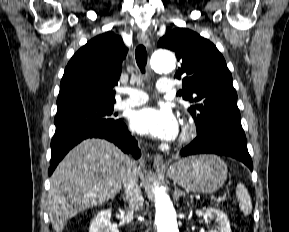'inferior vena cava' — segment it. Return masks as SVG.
<instances>
[{"label": "inferior vena cava", "mask_w": 289, "mask_h": 232, "mask_svg": "<svg viewBox=\"0 0 289 232\" xmlns=\"http://www.w3.org/2000/svg\"><path fill=\"white\" fill-rule=\"evenodd\" d=\"M123 186L130 211H139L143 206L141 189L138 185L137 170L134 164H130L123 175Z\"/></svg>", "instance_id": "602c4592"}]
</instances>
